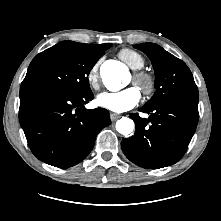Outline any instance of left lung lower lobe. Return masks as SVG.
Masks as SVG:
<instances>
[{"instance_id": "obj_1", "label": "left lung lower lobe", "mask_w": 221, "mask_h": 221, "mask_svg": "<svg viewBox=\"0 0 221 221\" xmlns=\"http://www.w3.org/2000/svg\"><path fill=\"white\" fill-rule=\"evenodd\" d=\"M130 118L136 131L121 142L126 157L143 168L158 169L178 162L185 154L198 123V102L183 99L165 101L139 109Z\"/></svg>"}]
</instances>
